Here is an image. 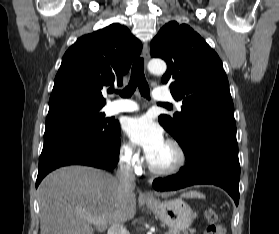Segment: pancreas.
I'll return each instance as SVG.
<instances>
[{
	"label": "pancreas",
	"instance_id": "pancreas-1",
	"mask_svg": "<svg viewBox=\"0 0 279 234\" xmlns=\"http://www.w3.org/2000/svg\"><path fill=\"white\" fill-rule=\"evenodd\" d=\"M166 234H177V233L175 231H170V232H168Z\"/></svg>",
	"mask_w": 279,
	"mask_h": 234
}]
</instances>
